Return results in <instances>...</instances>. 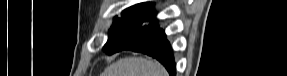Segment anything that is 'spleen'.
Here are the masks:
<instances>
[{"label": "spleen", "instance_id": "spleen-1", "mask_svg": "<svg viewBox=\"0 0 287 76\" xmlns=\"http://www.w3.org/2000/svg\"><path fill=\"white\" fill-rule=\"evenodd\" d=\"M103 76H167L158 62L142 57H126L111 64Z\"/></svg>", "mask_w": 287, "mask_h": 76}]
</instances>
